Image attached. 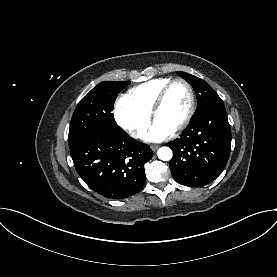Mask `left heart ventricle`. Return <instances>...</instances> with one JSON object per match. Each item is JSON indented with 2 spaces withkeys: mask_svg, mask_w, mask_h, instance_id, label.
Returning a JSON list of instances; mask_svg holds the SVG:
<instances>
[{
  "mask_svg": "<svg viewBox=\"0 0 277 277\" xmlns=\"http://www.w3.org/2000/svg\"><path fill=\"white\" fill-rule=\"evenodd\" d=\"M189 104L190 97L187 88L183 84L177 83L168 92L155 120L162 121L175 129L185 118Z\"/></svg>",
  "mask_w": 277,
  "mask_h": 277,
  "instance_id": "b2bd125f",
  "label": "left heart ventricle"
}]
</instances>
